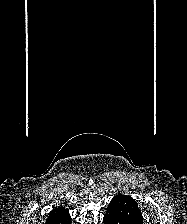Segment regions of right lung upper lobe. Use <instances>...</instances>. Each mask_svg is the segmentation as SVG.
Here are the masks:
<instances>
[{
    "label": "right lung upper lobe",
    "instance_id": "1",
    "mask_svg": "<svg viewBox=\"0 0 187 224\" xmlns=\"http://www.w3.org/2000/svg\"><path fill=\"white\" fill-rule=\"evenodd\" d=\"M66 212H67V209H65L64 207L55 208V209H53V211L50 212L49 217H48L47 220H49V219H51L53 217L62 215L64 213H66Z\"/></svg>",
    "mask_w": 187,
    "mask_h": 224
}]
</instances>
